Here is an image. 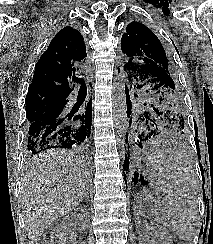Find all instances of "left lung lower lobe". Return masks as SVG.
Returning a JSON list of instances; mask_svg holds the SVG:
<instances>
[{
	"instance_id": "1",
	"label": "left lung lower lobe",
	"mask_w": 213,
	"mask_h": 244,
	"mask_svg": "<svg viewBox=\"0 0 213 244\" xmlns=\"http://www.w3.org/2000/svg\"><path fill=\"white\" fill-rule=\"evenodd\" d=\"M133 110L132 106L129 104L127 105V116L130 118V134L132 136V140L129 142L128 148H143L145 146V143L151 139L157 138L160 134L164 133L165 131L163 130L162 126L155 122L148 114L143 113V112H135V114H139V116L142 118V121L145 122L143 130L137 135L131 130V124H132V115H133ZM137 133V130H135ZM128 142V135L126 133V144ZM126 149V148H125ZM129 156V153L127 154ZM126 155V156H127ZM125 156V157H126ZM129 164V161L127 158H125V163H124V168H126ZM125 176V175H124ZM135 180V178H134ZM136 181V180H135Z\"/></svg>"
}]
</instances>
